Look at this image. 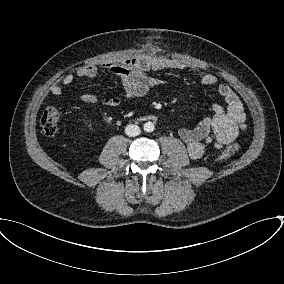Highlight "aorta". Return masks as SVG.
<instances>
[{
	"instance_id": "1",
	"label": "aorta",
	"mask_w": 284,
	"mask_h": 284,
	"mask_svg": "<svg viewBox=\"0 0 284 284\" xmlns=\"http://www.w3.org/2000/svg\"><path fill=\"white\" fill-rule=\"evenodd\" d=\"M143 127L146 132H153L155 129L154 123L152 122H146Z\"/></svg>"
}]
</instances>
